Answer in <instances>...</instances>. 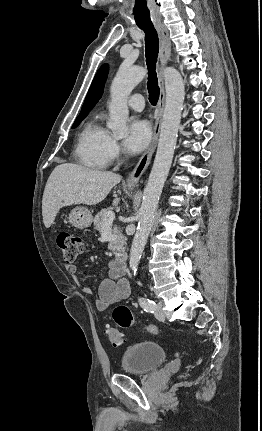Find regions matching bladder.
<instances>
[{
    "label": "bladder",
    "mask_w": 262,
    "mask_h": 431,
    "mask_svg": "<svg viewBox=\"0 0 262 431\" xmlns=\"http://www.w3.org/2000/svg\"><path fill=\"white\" fill-rule=\"evenodd\" d=\"M166 359V350L155 341L139 339L124 351L120 366L125 373L141 375L150 373Z\"/></svg>",
    "instance_id": "bladder-1"
}]
</instances>
